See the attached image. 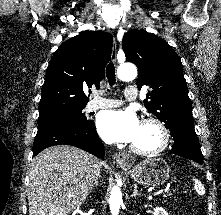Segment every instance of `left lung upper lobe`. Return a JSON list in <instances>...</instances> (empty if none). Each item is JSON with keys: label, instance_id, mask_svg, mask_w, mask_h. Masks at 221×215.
I'll return each mask as SVG.
<instances>
[{"label": "left lung upper lobe", "instance_id": "left-lung-upper-lobe-1", "mask_svg": "<svg viewBox=\"0 0 221 215\" xmlns=\"http://www.w3.org/2000/svg\"><path fill=\"white\" fill-rule=\"evenodd\" d=\"M126 60L139 70L137 87H150L144 105L165 123L175 136L196 134L191 101L179 56L163 39L146 31L127 32L123 37Z\"/></svg>", "mask_w": 221, "mask_h": 215}]
</instances>
